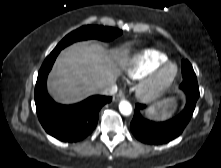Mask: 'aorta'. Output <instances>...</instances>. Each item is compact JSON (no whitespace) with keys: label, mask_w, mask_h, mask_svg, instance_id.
Returning a JSON list of instances; mask_svg holds the SVG:
<instances>
[{"label":"aorta","mask_w":221,"mask_h":168,"mask_svg":"<svg viewBox=\"0 0 221 168\" xmlns=\"http://www.w3.org/2000/svg\"><path fill=\"white\" fill-rule=\"evenodd\" d=\"M119 111L122 115L129 116L132 113V106L128 101L123 100L119 103Z\"/></svg>","instance_id":"1"}]
</instances>
